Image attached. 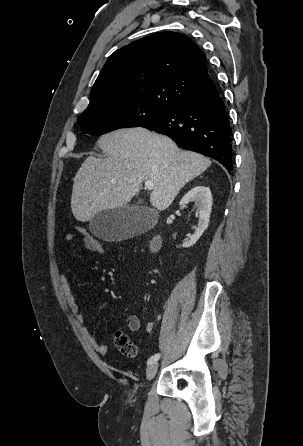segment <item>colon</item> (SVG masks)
Wrapping results in <instances>:
<instances>
[{"label":"colon","mask_w":303,"mask_h":446,"mask_svg":"<svg viewBox=\"0 0 303 446\" xmlns=\"http://www.w3.org/2000/svg\"><path fill=\"white\" fill-rule=\"evenodd\" d=\"M75 230L78 235H82V236L91 238V235L88 233V231L84 227L76 226ZM93 244H94V250H95L96 254H104L105 253V247L99 240L94 238ZM113 342H114V345L117 348V350L125 357L135 358L137 356V354H138L137 346L129 339L128 335L125 334L124 332L116 331L113 335Z\"/></svg>","instance_id":"colon-1"}]
</instances>
